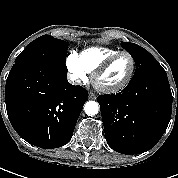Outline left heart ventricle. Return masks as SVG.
<instances>
[{"label":"left heart ventricle","mask_w":178,"mask_h":178,"mask_svg":"<svg viewBox=\"0 0 178 178\" xmlns=\"http://www.w3.org/2000/svg\"><path fill=\"white\" fill-rule=\"evenodd\" d=\"M131 60L124 55L115 60L98 79V83L103 87H112L121 83L129 74Z\"/></svg>","instance_id":"1"}]
</instances>
